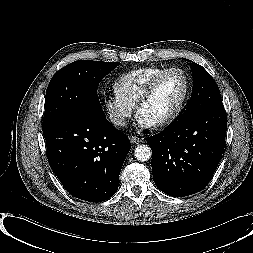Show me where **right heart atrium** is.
Instances as JSON below:
<instances>
[{
    "label": "right heart atrium",
    "instance_id": "obj_1",
    "mask_svg": "<svg viewBox=\"0 0 253 253\" xmlns=\"http://www.w3.org/2000/svg\"><path fill=\"white\" fill-rule=\"evenodd\" d=\"M103 104L110 121L117 127H125L128 119L133 114L134 106L116 94L106 97Z\"/></svg>",
    "mask_w": 253,
    "mask_h": 253
}]
</instances>
